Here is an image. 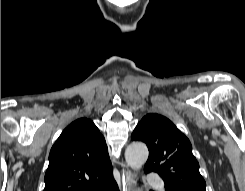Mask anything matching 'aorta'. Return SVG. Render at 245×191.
Masks as SVG:
<instances>
[{"label":"aorta","instance_id":"1","mask_svg":"<svg viewBox=\"0 0 245 191\" xmlns=\"http://www.w3.org/2000/svg\"><path fill=\"white\" fill-rule=\"evenodd\" d=\"M148 148L144 143H131L125 151V160L134 170H139L148 159Z\"/></svg>","mask_w":245,"mask_h":191}]
</instances>
